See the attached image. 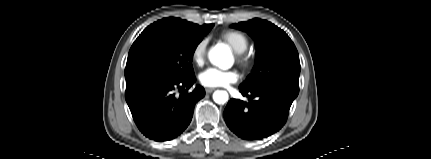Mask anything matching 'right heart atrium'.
Returning <instances> with one entry per match:
<instances>
[{
	"label": "right heart atrium",
	"instance_id": "d8ad5b80",
	"mask_svg": "<svg viewBox=\"0 0 431 159\" xmlns=\"http://www.w3.org/2000/svg\"><path fill=\"white\" fill-rule=\"evenodd\" d=\"M207 44L208 40L206 38H202L194 45L192 49L191 58L198 65H201L204 62Z\"/></svg>",
	"mask_w": 431,
	"mask_h": 159
}]
</instances>
